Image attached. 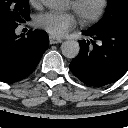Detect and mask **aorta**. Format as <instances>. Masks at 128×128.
Here are the masks:
<instances>
[{
	"label": "aorta",
	"instance_id": "obj_1",
	"mask_svg": "<svg viewBox=\"0 0 128 128\" xmlns=\"http://www.w3.org/2000/svg\"><path fill=\"white\" fill-rule=\"evenodd\" d=\"M44 6L49 9L60 10L63 9L67 1L66 0H42ZM80 51L79 43L75 40H67L61 44L62 54L70 59L75 58Z\"/></svg>",
	"mask_w": 128,
	"mask_h": 128
}]
</instances>
